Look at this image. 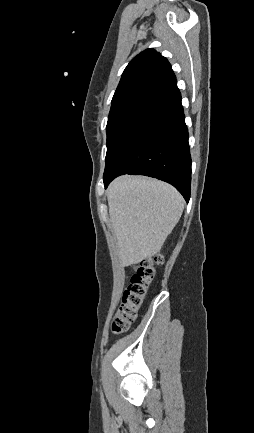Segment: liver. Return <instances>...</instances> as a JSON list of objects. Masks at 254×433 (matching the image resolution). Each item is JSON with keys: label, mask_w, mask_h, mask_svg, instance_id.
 Segmentation results:
<instances>
[{"label": "liver", "mask_w": 254, "mask_h": 433, "mask_svg": "<svg viewBox=\"0 0 254 433\" xmlns=\"http://www.w3.org/2000/svg\"><path fill=\"white\" fill-rule=\"evenodd\" d=\"M107 198L122 266L160 252L184 209V200L173 186L144 177L117 178Z\"/></svg>", "instance_id": "liver-1"}]
</instances>
